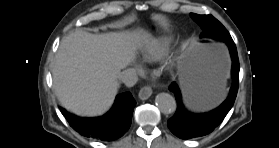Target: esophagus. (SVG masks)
I'll use <instances>...</instances> for the list:
<instances>
[{"label":"esophagus","mask_w":279,"mask_h":148,"mask_svg":"<svg viewBox=\"0 0 279 148\" xmlns=\"http://www.w3.org/2000/svg\"><path fill=\"white\" fill-rule=\"evenodd\" d=\"M153 93V90L150 86H144L139 91L138 97L141 100H147Z\"/></svg>","instance_id":"esophagus-1"}]
</instances>
